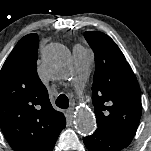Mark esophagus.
<instances>
[{
	"label": "esophagus",
	"instance_id": "1",
	"mask_svg": "<svg viewBox=\"0 0 151 151\" xmlns=\"http://www.w3.org/2000/svg\"><path fill=\"white\" fill-rule=\"evenodd\" d=\"M68 114L70 115V117L73 116V114H74V108L73 107L68 109Z\"/></svg>",
	"mask_w": 151,
	"mask_h": 151
}]
</instances>
